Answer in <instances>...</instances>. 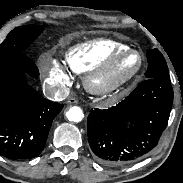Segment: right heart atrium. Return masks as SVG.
<instances>
[{"label":"right heart atrium","instance_id":"1","mask_svg":"<svg viewBox=\"0 0 183 183\" xmlns=\"http://www.w3.org/2000/svg\"><path fill=\"white\" fill-rule=\"evenodd\" d=\"M46 81L63 89L70 85L69 76L63 66L57 61H52L49 70L46 72Z\"/></svg>","mask_w":183,"mask_h":183}]
</instances>
